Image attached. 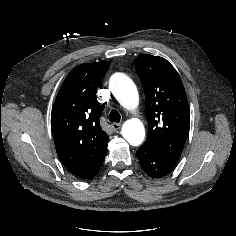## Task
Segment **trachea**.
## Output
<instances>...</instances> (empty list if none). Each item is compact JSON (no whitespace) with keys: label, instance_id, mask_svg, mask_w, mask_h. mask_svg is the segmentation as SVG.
<instances>
[{"label":"trachea","instance_id":"obj_1","mask_svg":"<svg viewBox=\"0 0 236 236\" xmlns=\"http://www.w3.org/2000/svg\"><path fill=\"white\" fill-rule=\"evenodd\" d=\"M121 116L117 110H112L109 114V121L119 123Z\"/></svg>","mask_w":236,"mask_h":236}]
</instances>
